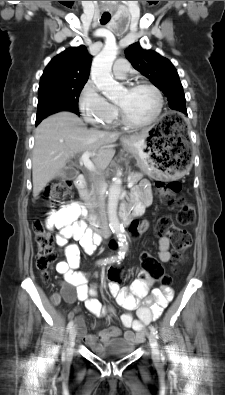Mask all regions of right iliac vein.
I'll return each mask as SVG.
<instances>
[{
	"mask_svg": "<svg viewBox=\"0 0 225 395\" xmlns=\"http://www.w3.org/2000/svg\"><path fill=\"white\" fill-rule=\"evenodd\" d=\"M77 335V330L75 327H73L70 330L69 333V343H68V348H67V353H66V359L67 361H70L72 359L73 356V345H74V341Z\"/></svg>",
	"mask_w": 225,
	"mask_h": 395,
	"instance_id": "63e3f726",
	"label": "right iliac vein"
}]
</instances>
